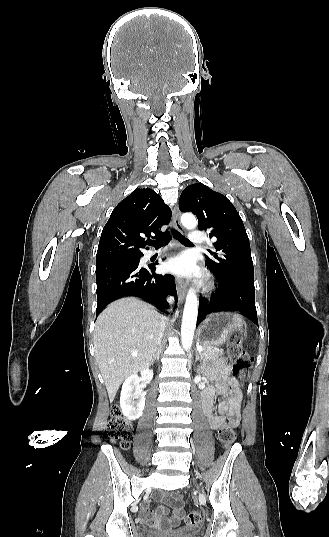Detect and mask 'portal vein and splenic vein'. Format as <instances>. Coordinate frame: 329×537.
Instances as JSON below:
<instances>
[{
  "mask_svg": "<svg viewBox=\"0 0 329 537\" xmlns=\"http://www.w3.org/2000/svg\"><path fill=\"white\" fill-rule=\"evenodd\" d=\"M197 350H198V351H202V350H203V347H202V346H197ZM132 355H133V356H137V353H133Z\"/></svg>",
  "mask_w": 329,
  "mask_h": 537,
  "instance_id": "portal-vein-and-splenic-vein-1",
  "label": "portal vein and splenic vein"
}]
</instances>
